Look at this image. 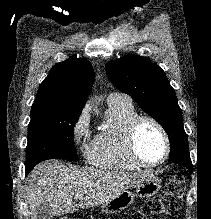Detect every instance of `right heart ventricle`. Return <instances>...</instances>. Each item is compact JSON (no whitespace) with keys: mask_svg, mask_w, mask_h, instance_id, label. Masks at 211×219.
Wrapping results in <instances>:
<instances>
[{"mask_svg":"<svg viewBox=\"0 0 211 219\" xmlns=\"http://www.w3.org/2000/svg\"><path fill=\"white\" fill-rule=\"evenodd\" d=\"M131 101L108 102L106 130L99 132L87 145V161L96 167L120 171L137 169L129 157L125 145L128 123L137 116Z\"/></svg>","mask_w":211,"mask_h":219,"instance_id":"e07e8e85","label":"right heart ventricle"}]
</instances>
